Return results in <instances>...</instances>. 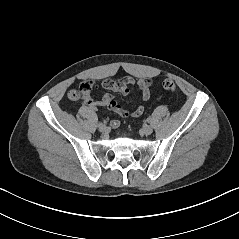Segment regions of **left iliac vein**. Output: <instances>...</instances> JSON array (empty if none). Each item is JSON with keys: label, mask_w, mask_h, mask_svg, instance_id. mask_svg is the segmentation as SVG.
<instances>
[{"label": "left iliac vein", "mask_w": 239, "mask_h": 239, "mask_svg": "<svg viewBox=\"0 0 239 239\" xmlns=\"http://www.w3.org/2000/svg\"><path fill=\"white\" fill-rule=\"evenodd\" d=\"M152 132H153V129H152L151 126H149V125L143 126V128H142V133L143 134L150 135Z\"/></svg>", "instance_id": "obj_1"}]
</instances>
